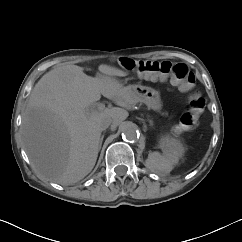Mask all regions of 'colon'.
<instances>
[{
    "mask_svg": "<svg viewBox=\"0 0 242 242\" xmlns=\"http://www.w3.org/2000/svg\"><path fill=\"white\" fill-rule=\"evenodd\" d=\"M117 62L126 70L137 72L153 80L168 79L183 92H191L195 86V76L184 63L135 60L132 58H120ZM204 107V98L197 93H191L189 96V110L181 116L175 129L183 131L197 126Z\"/></svg>",
    "mask_w": 242,
    "mask_h": 242,
    "instance_id": "5ec220e1",
    "label": "colon"
}]
</instances>
